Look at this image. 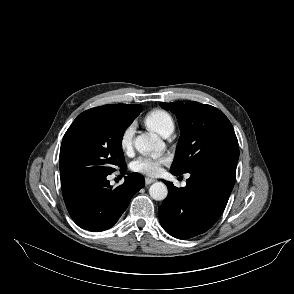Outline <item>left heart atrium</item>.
Masks as SVG:
<instances>
[{"label":"left heart atrium","mask_w":294,"mask_h":294,"mask_svg":"<svg viewBox=\"0 0 294 294\" xmlns=\"http://www.w3.org/2000/svg\"><path fill=\"white\" fill-rule=\"evenodd\" d=\"M168 162V159L164 156H140L135 159L130 168L134 172L148 175L157 176L161 173L162 166Z\"/></svg>","instance_id":"39dd6f15"}]
</instances>
